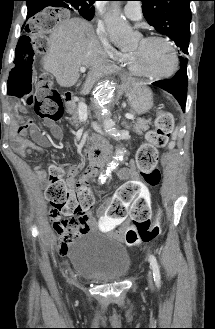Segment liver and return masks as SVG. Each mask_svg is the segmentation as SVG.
<instances>
[{"label":"liver","mask_w":215,"mask_h":329,"mask_svg":"<svg viewBox=\"0 0 215 329\" xmlns=\"http://www.w3.org/2000/svg\"><path fill=\"white\" fill-rule=\"evenodd\" d=\"M49 50L44 57L43 68L56 78L62 87H71L80 77V67H90L82 87V93L91 90L104 75L116 71L103 55L92 25L81 18L61 21L51 32Z\"/></svg>","instance_id":"6515ba94"}]
</instances>
